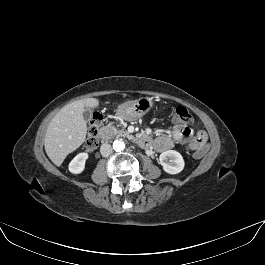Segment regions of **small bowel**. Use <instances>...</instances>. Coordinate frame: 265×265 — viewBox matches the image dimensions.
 <instances>
[{"label":"small bowel","instance_id":"obj_1","mask_svg":"<svg viewBox=\"0 0 265 265\" xmlns=\"http://www.w3.org/2000/svg\"><path fill=\"white\" fill-rule=\"evenodd\" d=\"M172 120L178 125L169 134H163L156 138L153 142V147L157 151L163 152L173 147L174 143H181L186 145L189 150L204 152L207 135L200 131L193 136L189 127L179 124L180 122L174 117Z\"/></svg>","mask_w":265,"mask_h":265}]
</instances>
